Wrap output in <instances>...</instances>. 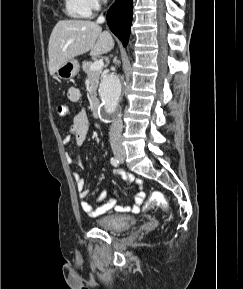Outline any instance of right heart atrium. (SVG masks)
<instances>
[{"mask_svg": "<svg viewBox=\"0 0 243 289\" xmlns=\"http://www.w3.org/2000/svg\"><path fill=\"white\" fill-rule=\"evenodd\" d=\"M80 8L90 16L97 12L105 2V0H76Z\"/></svg>", "mask_w": 243, "mask_h": 289, "instance_id": "right-heart-atrium-1", "label": "right heart atrium"}]
</instances>
